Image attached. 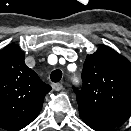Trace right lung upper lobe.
<instances>
[{"label": "right lung upper lobe", "instance_id": "right-lung-upper-lobe-1", "mask_svg": "<svg viewBox=\"0 0 131 131\" xmlns=\"http://www.w3.org/2000/svg\"><path fill=\"white\" fill-rule=\"evenodd\" d=\"M24 59V52L15 44L0 51V127L8 131H18L31 123L51 90Z\"/></svg>", "mask_w": 131, "mask_h": 131}]
</instances>
